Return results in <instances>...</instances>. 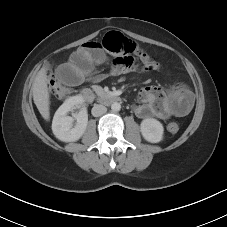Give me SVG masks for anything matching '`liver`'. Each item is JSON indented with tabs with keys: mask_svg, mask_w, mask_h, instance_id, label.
Masks as SVG:
<instances>
[{
	"mask_svg": "<svg viewBox=\"0 0 227 227\" xmlns=\"http://www.w3.org/2000/svg\"><path fill=\"white\" fill-rule=\"evenodd\" d=\"M47 82V69L43 67L34 80L32 92L34 103L46 121L50 118V94Z\"/></svg>",
	"mask_w": 227,
	"mask_h": 227,
	"instance_id": "obj_1",
	"label": "liver"
}]
</instances>
